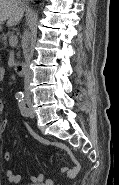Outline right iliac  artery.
Wrapping results in <instances>:
<instances>
[{"label":"right iliac artery","instance_id":"right-iliac-artery-1","mask_svg":"<svg viewBox=\"0 0 119 185\" xmlns=\"http://www.w3.org/2000/svg\"><path fill=\"white\" fill-rule=\"evenodd\" d=\"M15 97L17 100H20V99H23L24 95H23V93L19 92L15 95Z\"/></svg>","mask_w":119,"mask_h":185}]
</instances>
